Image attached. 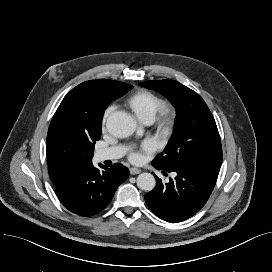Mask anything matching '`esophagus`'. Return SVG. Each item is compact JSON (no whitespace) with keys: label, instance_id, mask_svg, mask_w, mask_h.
Returning a JSON list of instances; mask_svg holds the SVG:
<instances>
[{"label":"esophagus","instance_id":"obj_1","mask_svg":"<svg viewBox=\"0 0 272 272\" xmlns=\"http://www.w3.org/2000/svg\"><path fill=\"white\" fill-rule=\"evenodd\" d=\"M129 172H130L131 175H136V174H139L141 172V169L135 168V167H131L129 169Z\"/></svg>","mask_w":272,"mask_h":272}]
</instances>
